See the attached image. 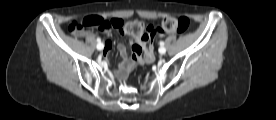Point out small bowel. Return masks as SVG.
<instances>
[{
  "label": "small bowel",
  "mask_w": 276,
  "mask_h": 120,
  "mask_svg": "<svg viewBox=\"0 0 276 120\" xmlns=\"http://www.w3.org/2000/svg\"><path fill=\"white\" fill-rule=\"evenodd\" d=\"M113 22H120L118 19H113ZM151 31L154 32V29L152 27ZM153 35L151 38H149L146 41H140L136 39L133 42V47H132V54L130 58H127V52L125 47L122 44H119V52L123 58V61L121 62L119 69L117 71V76L118 77H124L127 75L129 72H131L138 64H144V63H149L152 58V46H153V40H154ZM113 45V41L110 38H107L105 40V46L107 49H110ZM140 52H139V50ZM142 51H145L144 56L141 55Z\"/></svg>",
  "instance_id": "1"
}]
</instances>
